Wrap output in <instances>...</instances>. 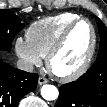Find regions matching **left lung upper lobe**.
<instances>
[{
    "label": "left lung upper lobe",
    "instance_id": "5c2ea615",
    "mask_svg": "<svg viewBox=\"0 0 107 107\" xmlns=\"http://www.w3.org/2000/svg\"><path fill=\"white\" fill-rule=\"evenodd\" d=\"M96 21L99 27V34L101 37L100 51L104 53L105 61L107 63V28L99 18H96Z\"/></svg>",
    "mask_w": 107,
    "mask_h": 107
}]
</instances>
